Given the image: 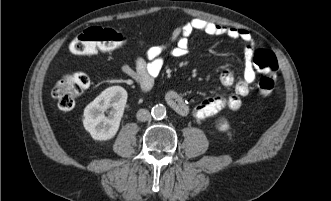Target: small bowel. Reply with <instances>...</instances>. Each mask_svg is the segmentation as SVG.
<instances>
[{
  "instance_id": "1",
  "label": "small bowel",
  "mask_w": 331,
  "mask_h": 201,
  "mask_svg": "<svg viewBox=\"0 0 331 201\" xmlns=\"http://www.w3.org/2000/svg\"><path fill=\"white\" fill-rule=\"evenodd\" d=\"M196 31L208 36H227L231 39L244 41L246 47L244 51L245 66L243 76L235 79L234 73L230 68L223 69L220 73V82L225 87H233L234 92L228 96L215 95L208 97L193 108L189 107L184 99L173 90L166 93V102L178 114H192L198 120L213 116L223 109L238 110L242 105V97L249 93L250 87L256 78L253 66L256 43L252 33L246 29L193 18L174 28L169 44L150 47L144 57H138L135 60L134 67L123 65L122 72L133 79L143 91L150 90L153 86L154 78L162 70L167 57L177 59L188 54L189 37Z\"/></svg>"
}]
</instances>
